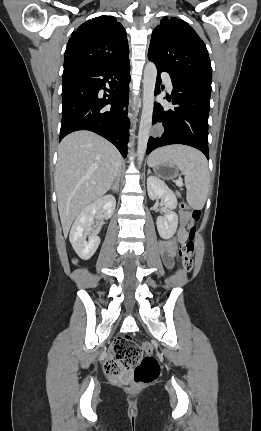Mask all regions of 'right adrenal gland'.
Here are the masks:
<instances>
[{
  "label": "right adrenal gland",
  "mask_w": 261,
  "mask_h": 431,
  "mask_svg": "<svg viewBox=\"0 0 261 431\" xmlns=\"http://www.w3.org/2000/svg\"><path fill=\"white\" fill-rule=\"evenodd\" d=\"M119 182H120V179H119V176H118V178L116 180V183L110 187V190L113 191V192H115V193H118V191H119Z\"/></svg>",
  "instance_id": "2a0ac1e0"
}]
</instances>
